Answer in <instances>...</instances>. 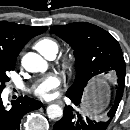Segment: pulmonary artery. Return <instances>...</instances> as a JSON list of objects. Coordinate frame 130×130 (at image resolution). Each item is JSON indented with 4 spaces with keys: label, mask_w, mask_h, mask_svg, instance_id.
Returning <instances> with one entry per match:
<instances>
[{
    "label": "pulmonary artery",
    "mask_w": 130,
    "mask_h": 130,
    "mask_svg": "<svg viewBox=\"0 0 130 130\" xmlns=\"http://www.w3.org/2000/svg\"><path fill=\"white\" fill-rule=\"evenodd\" d=\"M47 58H48L49 60H52V59L55 58V55H50V56H48Z\"/></svg>",
    "instance_id": "obj_1"
}]
</instances>
